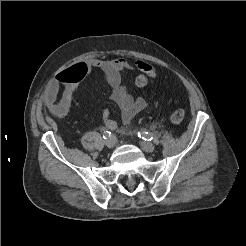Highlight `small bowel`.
Masks as SVG:
<instances>
[{"instance_id": "small-bowel-1", "label": "small bowel", "mask_w": 246, "mask_h": 246, "mask_svg": "<svg viewBox=\"0 0 246 246\" xmlns=\"http://www.w3.org/2000/svg\"><path fill=\"white\" fill-rule=\"evenodd\" d=\"M94 69L101 71L111 87V99L119 106L123 123H129L146 107V100L132 96L123 82L122 72L133 69L129 61L124 58L88 59L59 72L48 86L44 95V104L54 117L61 119L67 116L78 83ZM102 117L107 129L117 128L116 121L109 117L107 109L103 111Z\"/></svg>"}]
</instances>
